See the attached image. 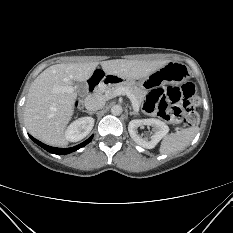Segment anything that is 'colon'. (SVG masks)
Segmentation results:
<instances>
[{
	"label": "colon",
	"mask_w": 233,
	"mask_h": 233,
	"mask_svg": "<svg viewBox=\"0 0 233 233\" xmlns=\"http://www.w3.org/2000/svg\"><path fill=\"white\" fill-rule=\"evenodd\" d=\"M197 101L195 86L188 82L180 88L169 86L151 90L146 97L144 110L168 122L194 126L199 122V116L194 111ZM76 106L81 107L82 102L79 100Z\"/></svg>",
	"instance_id": "obj_1"
}]
</instances>
